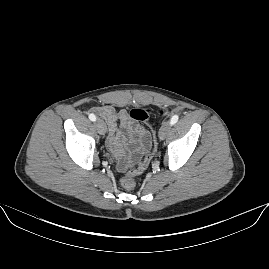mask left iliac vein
<instances>
[{"label": "left iliac vein", "mask_w": 269, "mask_h": 269, "mask_svg": "<svg viewBox=\"0 0 269 269\" xmlns=\"http://www.w3.org/2000/svg\"><path fill=\"white\" fill-rule=\"evenodd\" d=\"M170 126H171V124H170L169 121H164L162 123V125H161V127L159 129V133H158L160 139L163 140V139L166 138V136H167V134H168V132L170 130Z\"/></svg>", "instance_id": "4c4485c4"}]
</instances>
